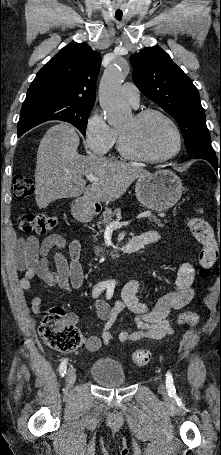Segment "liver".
I'll list each match as a JSON object with an SVG mask.
<instances>
[{"mask_svg":"<svg viewBox=\"0 0 221 455\" xmlns=\"http://www.w3.org/2000/svg\"><path fill=\"white\" fill-rule=\"evenodd\" d=\"M79 143L76 129L64 122L52 126L41 139L35 170L36 203L40 209L57 199L81 195L92 203L114 201L137 178L150 174L132 163L83 156L77 151ZM87 174L98 181L86 186Z\"/></svg>","mask_w":221,"mask_h":455,"instance_id":"liver-1","label":"liver"}]
</instances>
